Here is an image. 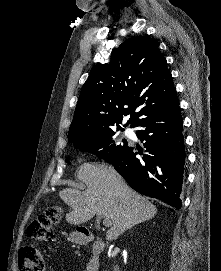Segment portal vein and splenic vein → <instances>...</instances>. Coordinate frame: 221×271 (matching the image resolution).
I'll use <instances>...</instances> for the list:
<instances>
[{
  "mask_svg": "<svg viewBox=\"0 0 221 271\" xmlns=\"http://www.w3.org/2000/svg\"><path fill=\"white\" fill-rule=\"evenodd\" d=\"M97 217H104L103 225H106V227H110V225H112V221H111L109 215H97Z\"/></svg>",
  "mask_w": 221,
  "mask_h": 271,
  "instance_id": "obj_1",
  "label": "portal vein and splenic vein"
}]
</instances>
